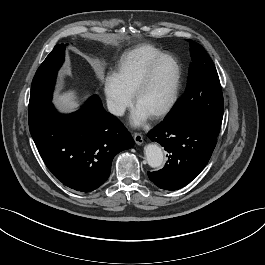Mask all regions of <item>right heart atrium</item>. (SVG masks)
Masks as SVG:
<instances>
[{"label":"right heart atrium","instance_id":"d8ad5b80","mask_svg":"<svg viewBox=\"0 0 265 265\" xmlns=\"http://www.w3.org/2000/svg\"><path fill=\"white\" fill-rule=\"evenodd\" d=\"M103 87L110 112L115 116H122L131 105V96L119 87L112 75L104 79Z\"/></svg>","mask_w":265,"mask_h":265}]
</instances>
